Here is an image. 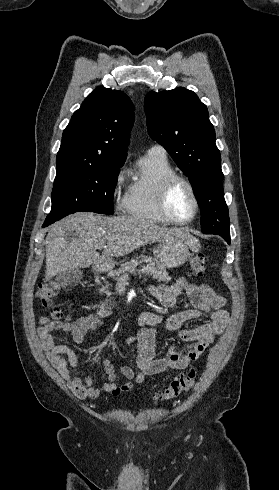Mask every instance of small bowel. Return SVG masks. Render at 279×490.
<instances>
[{"label":"small bowel","instance_id":"small-bowel-1","mask_svg":"<svg viewBox=\"0 0 279 490\" xmlns=\"http://www.w3.org/2000/svg\"><path fill=\"white\" fill-rule=\"evenodd\" d=\"M186 293L193 305L192 309L178 312L164 319L160 314L144 311L138 315L137 322L141 327L136 336L129 337L127 344L136 343L139 347L137 365L140 373L135 376L132 368L123 366L117 373L110 360L103 361V368L108 381L101 386H94L93 378L83 377L73 370L78 365V357L73 349L64 344H57L53 333L62 331L71 335L73 341L82 344L86 335L97 329L103 322L99 314H90L74 322H60L49 316H42L38 321L37 337L39 344L48 360L58 373L67 381L70 390L79 398L96 399L104 393L120 395L132 388L131 382L117 384L118 376L128 380L135 379L140 383L149 374H155L166 369H185L192 361L197 360L204 350L221 335L229 323V313L226 309V299L213 292L207 285H196L186 278H180L171 286L158 285L150 288L151 296L164 308H173L181 293ZM209 316L210 321L194 328L179 331L181 340L189 346L184 352L171 349L163 359L155 357L156 327L163 325L168 330H177L190 320Z\"/></svg>","mask_w":279,"mask_h":490}]
</instances>
